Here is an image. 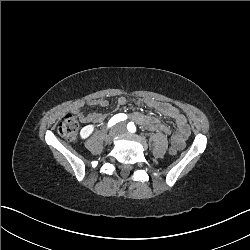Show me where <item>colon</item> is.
I'll return each mask as SVG.
<instances>
[{"label": "colon", "instance_id": "obj_1", "mask_svg": "<svg viewBox=\"0 0 250 250\" xmlns=\"http://www.w3.org/2000/svg\"><path fill=\"white\" fill-rule=\"evenodd\" d=\"M79 131V116L75 113L67 114L58 125L59 135L66 140H74ZM178 146L172 144L170 154L175 155L178 152Z\"/></svg>", "mask_w": 250, "mask_h": 250}]
</instances>
